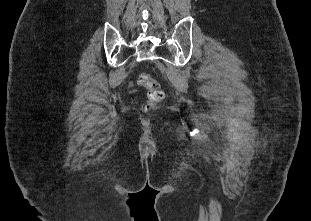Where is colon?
Masks as SVG:
<instances>
[{"instance_id":"colon-1","label":"colon","mask_w":311,"mask_h":221,"mask_svg":"<svg viewBox=\"0 0 311 221\" xmlns=\"http://www.w3.org/2000/svg\"><path fill=\"white\" fill-rule=\"evenodd\" d=\"M139 84L148 90L147 102L141 109L142 112L147 113L151 110L152 105L158 103L164 98V92L160 85L146 73L140 74Z\"/></svg>"}]
</instances>
